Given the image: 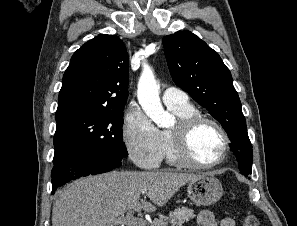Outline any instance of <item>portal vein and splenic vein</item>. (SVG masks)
Here are the masks:
<instances>
[{
  "label": "portal vein and splenic vein",
  "mask_w": 297,
  "mask_h": 226,
  "mask_svg": "<svg viewBox=\"0 0 297 226\" xmlns=\"http://www.w3.org/2000/svg\"><path fill=\"white\" fill-rule=\"evenodd\" d=\"M116 224H126L129 226H145L147 225L146 220L133 216V211L127 212L126 216L122 214L120 217L115 219Z\"/></svg>",
  "instance_id": "1"
}]
</instances>
